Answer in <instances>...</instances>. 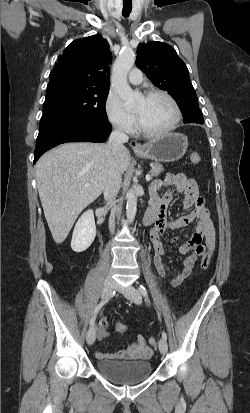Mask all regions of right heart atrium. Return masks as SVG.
Instances as JSON below:
<instances>
[{
    "mask_svg": "<svg viewBox=\"0 0 250 413\" xmlns=\"http://www.w3.org/2000/svg\"><path fill=\"white\" fill-rule=\"evenodd\" d=\"M105 114L109 123L118 131L131 134L136 129V118L128 111L121 99L114 92H109L104 104Z\"/></svg>",
    "mask_w": 250,
    "mask_h": 413,
    "instance_id": "obj_1",
    "label": "right heart atrium"
}]
</instances>
